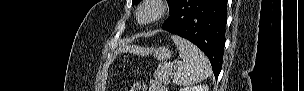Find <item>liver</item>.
I'll list each match as a JSON object with an SVG mask.
<instances>
[{"instance_id":"1","label":"liver","mask_w":304,"mask_h":91,"mask_svg":"<svg viewBox=\"0 0 304 91\" xmlns=\"http://www.w3.org/2000/svg\"><path fill=\"white\" fill-rule=\"evenodd\" d=\"M119 51H124V52H131V53H140L143 52V49L140 48L139 46L135 45H123L122 48L119 49Z\"/></svg>"}]
</instances>
